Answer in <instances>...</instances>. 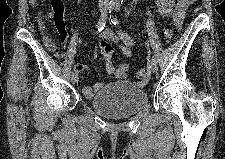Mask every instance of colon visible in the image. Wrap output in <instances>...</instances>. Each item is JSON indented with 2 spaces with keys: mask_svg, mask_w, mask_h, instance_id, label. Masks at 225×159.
<instances>
[{
  "mask_svg": "<svg viewBox=\"0 0 225 159\" xmlns=\"http://www.w3.org/2000/svg\"><path fill=\"white\" fill-rule=\"evenodd\" d=\"M50 15L53 18L54 23L56 24L57 27L60 28L65 27L63 6L60 0H53ZM163 35L165 40L169 41L173 36V32L170 28H166L163 31ZM102 53L106 59H110L112 55L111 47L104 46L102 48ZM138 78L141 80L142 83H147L149 81L150 77L147 65H144L139 69Z\"/></svg>",
  "mask_w": 225,
  "mask_h": 159,
  "instance_id": "obj_1",
  "label": "colon"
}]
</instances>
